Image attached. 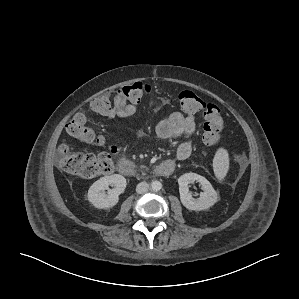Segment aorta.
<instances>
[{
	"label": "aorta",
	"instance_id": "aorta-1",
	"mask_svg": "<svg viewBox=\"0 0 299 299\" xmlns=\"http://www.w3.org/2000/svg\"><path fill=\"white\" fill-rule=\"evenodd\" d=\"M151 188L153 191H159L162 188V183L160 181L155 180L151 183Z\"/></svg>",
	"mask_w": 299,
	"mask_h": 299
}]
</instances>
